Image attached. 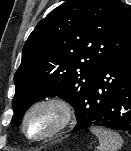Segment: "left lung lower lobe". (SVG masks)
<instances>
[{"instance_id":"obj_1","label":"left lung lower lobe","mask_w":131,"mask_h":151,"mask_svg":"<svg viewBox=\"0 0 131 151\" xmlns=\"http://www.w3.org/2000/svg\"><path fill=\"white\" fill-rule=\"evenodd\" d=\"M90 126L131 135V46L112 56L91 85L73 131Z\"/></svg>"}]
</instances>
